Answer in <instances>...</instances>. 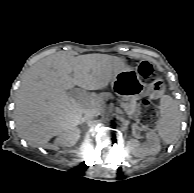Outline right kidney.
Segmentation results:
<instances>
[{"instance_id":"right-kidney-1","label":"right kidney","mask_w":194,"mask_h":193,"mask_svg":"<svg viewBox=\"0 0 194 193\" xmlns=\"http://www.w3.org/2000/svg\"><path fill=\"white\" fill-rule=\"evenodd\" d=\"M80 129L77 127H68L59 137L55 140V145L61 147L74 146L80 138Z\"/></svg>"}]
</instances>
